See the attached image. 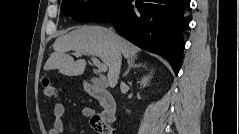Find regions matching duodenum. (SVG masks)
<instances>
[{
  "label": "duodenum",
  "mask_w": 239,
  "mask_h": 134,
  "mask_svg": "<svg viewBox=\"0 0 239 134\" xmlns=\"http://www.w3.org/2000/svg\"><path fill=\"white\" fill-rule=\"evenodd\" d=\"M88 93L97 99L101 108H102V116L106 121H114L116 116V103L113 96L109 91L94 85H88Z\"/></svg>",
  "instance_id": "duodenum-1"
}]
</instances>
